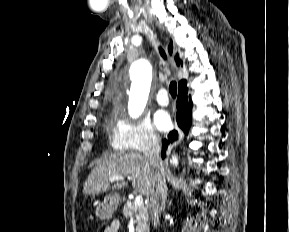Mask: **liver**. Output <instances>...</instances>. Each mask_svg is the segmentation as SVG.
Returning <instances> with one entry per match:
<instances>
[{"instance_id":"obj_1","label":"liver","mask_w":289,"mask_h":232,"mask_svg":"<svg viewBox=\"0 0 289 232\" xmlns=\"http://www.w3.org/2000/svg\"><path fill=\"white\" fill-rule=\"evenodd\" d=\"M116 175L131 176L132 187L146 197L154 190L156 169L145 155L129 152L98 162L85 182L83 193L85 196L98 195L110 189L124 188L127 183L123 180L110 185L109 177Z\"/></svg>"}]
</instances>
